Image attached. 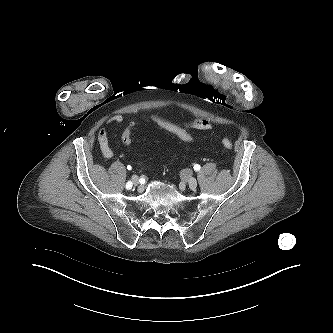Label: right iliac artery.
I'll return each instance as SVG.
<instances>
[{
	"label": "right iliac artery",
	"mask_w": 333,
	"mask_h": 333,
	"mask_svg": "<svg viewBox=\"0 0 333 333\" xmlns=\"http://www.w3.org/2000/svg\"><path fill=\"white\" fill-rule=\"evenodd\" d=\"M132 188V182L131 181H128L127 184H126V189H131Z\"/></svg>",
	"instance_id": "82829eb1"
}]
</instances>
